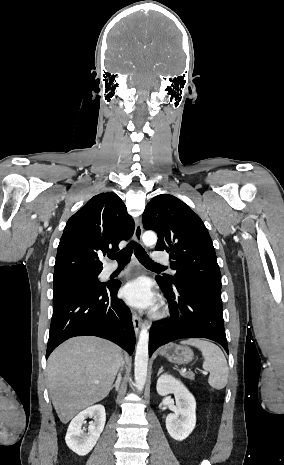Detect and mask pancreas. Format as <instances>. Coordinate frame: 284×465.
Here are the masks:
<instances>
[{
    "instance_id": "1",
    "label": "pancreas",
    "mask_w": 284,
    "mask_h": 465,
    "mask_svg": "<svg viewBox=\"0 0 284 465\" xmlns=\"http://www.w3.org/2000/svg\"><path fill=\"white\" fill-rule=\"evenodd\" d=\"M182 377H185V379H191L193 381L195 375L194 373H181Z\"/></svg>"
}]
</instances>
